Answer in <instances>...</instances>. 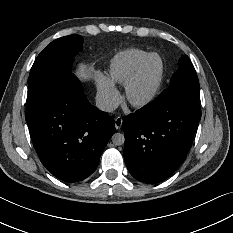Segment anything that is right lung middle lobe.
Returning <instances> with one entry per match:
<instances>
[{
    "instance_id": "obj_1",
    "label": "right lung middle lobe",
    "mask_w": 233,
    "mask_h": 233,
    "mask_svg": "<svg viewBox=\"0 0 233 233\" xmlns=\"http://www.w3.org/2000/svg\"><path fill=\"white\" fill-rule=\"evenodd\" d=\"M83 38L69 35L51 42L36 58L29 75L27 109L52 96L70 78L74 56L82 50Z\"/></svg>"
}]
</instances>
